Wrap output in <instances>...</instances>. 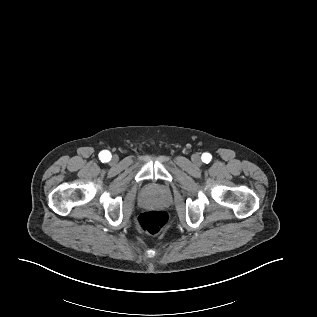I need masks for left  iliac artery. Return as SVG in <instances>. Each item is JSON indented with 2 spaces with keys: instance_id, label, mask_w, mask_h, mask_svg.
<instances>
[{
  "instance_id": "obj_1",
  "label": "left iliac artery",
  "mask_w": 317,
  "mask_h": 317,
  "mask_svg": "<svg viewBox=\"0 0 317 317\" xmlns=\"http://www.w3.org/2000/svg\"><path fill=\"white\" fill-rule=\"evenodd\" d=\"M201 158L204 163H209L212 159V156L210 153H204Z\"/></svg>"
}]
</instances>
